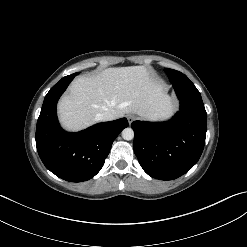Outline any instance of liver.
I'll return each instance as SVG.
<instances>
[{
  "label": "liver",
  "instance_id": "obj_1",
  "mask_svg": "<svg viewBox=\"0 0 247 247\" xmlns=\"http://www.w3.org/2000/svg\"><path fill=\"white\" fill-rule=\"evenodd\" d=\"M175 109L163 84L144 66L108 68L96 76L79 77L58 105L62 125L72 131L92 125L103 112H111L115 119L134 113L155 121Z\"/></svg>",
  "mask_w": 247,
  "mask_h": 247
}]
</instances>
